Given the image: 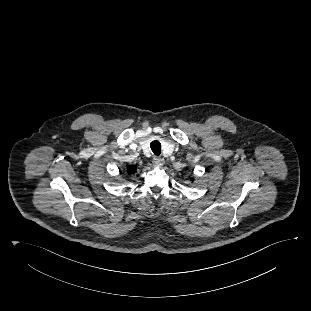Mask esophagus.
<instances>
[{"instance_id":"1","label":"esophagus","mask_w":311,"mask_h":311,"mask_svg":"<svg viewBox=\"0 0 311 311\" xmlns=\"http://www.w3.org/2000/svg\"><path fill=\"white\" fill-rule=\"evenodd\" d=\"M164 164V160L160 157H154L153 158V165L156 167H162Z\"/></svg>"}]
</instances>
